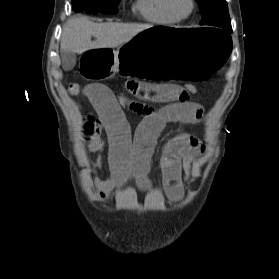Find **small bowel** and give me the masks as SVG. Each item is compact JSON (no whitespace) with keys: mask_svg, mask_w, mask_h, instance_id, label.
<instances>
[{"mask_svg":"<svg viewBox=\"0 0 279 279\" xmlns=\"http://www.w3.org/2000/svg\"><path fill=\"white\" fill-rule=\"evenodd\" d=\"M126 87L134 98L144 102L142 106H123L112 91L100 83L85 86L82 93L94 110V114L89 115L84 124L89 149L103 152L105 143L100 134L104 130L108 135L111 178L104 181L95 179L96 192L101 199H105L113 188L131 177L141 187H149L147 175L151 157L162 130L171 122L196 124L204 113L200 104L190 101L189 97L180 96L181 87L178 85L149 84L128 79ZM149 101L165 106L156 108L146 104ZM123 108L142 117L133 137ZM203 151L202 142L187 133L176 136L166 144L160 166L164 190L170 200L178 201L183 197L184 182L189 179L191 167Z\"/></svg>","mask_w":279,"mask_h":279,"instance_id":"c3829d8e","label":"small bowel"}]
</instances>
